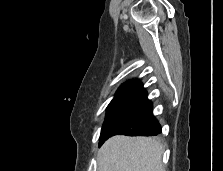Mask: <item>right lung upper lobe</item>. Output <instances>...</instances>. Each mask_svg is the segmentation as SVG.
I'll return each mask as SVG.
<instances>
[{"mask_svg":"<svg viewBox=\"0 0 223 171\" xmlns=\"http://www.w3.org/2000/svg\"><path fill=\"white\" fill-rule=\"evenodd\" d=\"M146 94L145 89L143 88V85L135 80V81H129L125 84H123L119 90L116 92L114 98H135L139 99L140 97L144 96Z\"/></svg>","mask_w":223,"mask_h":171,"instance_id":"1","label":"right lung upper lobe"}]
</instances>
